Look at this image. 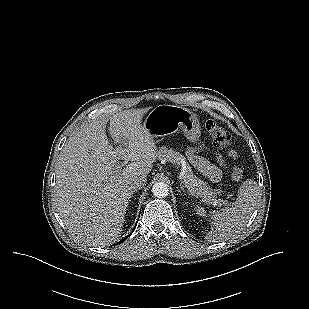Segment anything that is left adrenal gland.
I'll return each instance as SVG.
<instances>
[{
    "mask_svg": "<svg viewBox=\"0 0 309 309\" xmlns=\"http://www.w3.org/2000/svg\"><path fill=\"white\" fill-rule=\"evenodd\" d=\"M180 188H181V190L183 191L184 195H186V193L184 192L183 186H181Z\"/></svg>",
    "mask_w": 309,
    "mask_h": 309,
    "instance_id": "obj_1",
    "label": "left adrenal gland"
}]
</instances>
